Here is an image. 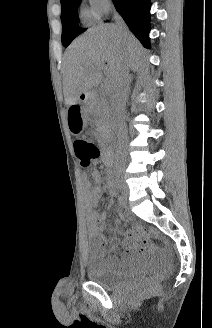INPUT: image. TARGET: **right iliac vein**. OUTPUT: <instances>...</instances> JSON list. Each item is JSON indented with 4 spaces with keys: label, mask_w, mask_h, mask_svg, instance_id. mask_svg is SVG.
<instances>
[{
    "label": "right iliac vein",
    "mask_w": 212,
    "mask_h": 328,
    "mask_svg": "<svg viewBox=\"0 0 212 328\" xmlns=\"http://www.w3.org/2000/svg\"><path fill=\"white\" fill-rule=\"evenodd\" d=\"M120 189H121L122 195L125 198H127V196H128V187L124 183H122V184H120Z\"/></svg>",
    "instance_id": "right-iliac-vein-1"
}]
</instances>
